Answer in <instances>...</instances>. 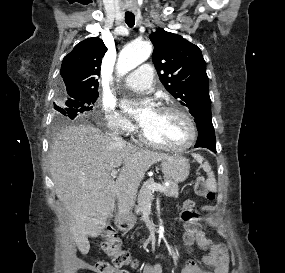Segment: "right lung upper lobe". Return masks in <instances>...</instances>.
Returning a JSON list of instances; mask_svg holds the SVG:
<instances>
[{"instance_id": "right-lung-upper-lobe-1", "label": "right lung upper lobe", "mask_w": 285, "mask_h": 273, "mask_svg": "<svg viewBox=\"0 0 285 273\" xmlns=\"http://www.w3.org/2000/svg\"><path fill=\"white\" fill-rule=\"evenodd\" d=\"M107 51L98 37L88 38L78 43L64 57L60 74L66 94L84 93L98 90V79L102 58Z\"/></svg>"}]
</instances>
